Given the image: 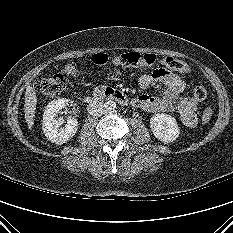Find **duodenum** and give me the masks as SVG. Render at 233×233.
<instances>
[{
  "mask_svg": "<svg viewBox=\"0 0 233 233\" xmlns=\"http://www.w3.org/2000/svg\"><path fill=\"white\" fill-rule=\"evenodd\" d=\"M107 99L116 100L120 104H127L129 102L127 95L122 91L112 87L100 86L94 90L89 103H94L95 101Z\"/></svg>",
  "mask_w": 233,
  "mask_h": 233,
  "instance_id": "duodenum-1",
  "label": "duodenum"
}]
</instances>
